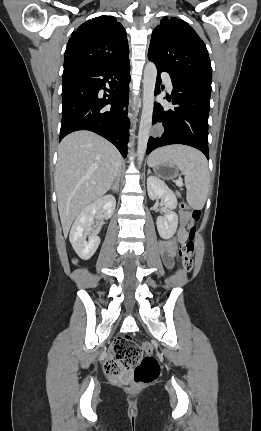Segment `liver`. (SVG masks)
<instances>
[{
  "mask_svg": "<svg viewBox=\"0 0 261 431\" xmlns=\"http://www.w3.org/2000/svg\"><path fill=\"white\" fill-rule=\"evenodd\" d=\"M121 160L113 144L91 131H77L61 141L55 186L65 237L76 216L110 189Z\"/></svg>",
  "mask_w": 261,
  "mask_h": 431,
  "instance_id": "obj_1",
  "label": "liver"
}]
</instances>
